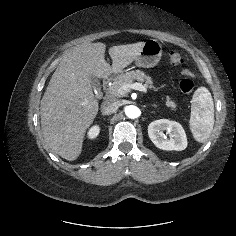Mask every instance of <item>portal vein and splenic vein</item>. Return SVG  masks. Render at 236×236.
Instances as JSON below:
<instances>
[{
    "label": "portal vein and splenic vein",
    "instance_id": "obj_1",
    "mask_svg": "<svg viewBox=\"0 0 236 236\" xmlns=\"http://www.w3.org/2000/svg\"><path fill=\"white\" fill-rule=\"evenodd\" d=\"M131 89H134V90H139V91H142L144 93L147 92V89L144 85H142L141 83H132V84H124L122 85L118 92L121 93V94H125L127 92H129Z\"/></svg>",
    "mask_w": 236,
    "mask_h": 236
}]
</instances>
